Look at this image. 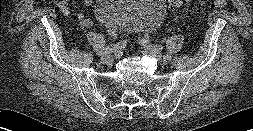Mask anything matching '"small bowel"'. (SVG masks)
Returning <instances> with one entry per match:
<instances>
[{"label":"small bowel","mask_w":253,"mask_h":131,"mask_svg":"<svg viewBox=\"0 0 253 131\" xmlns=\"http://www.w3.org/2000/svg\"><path fill=\"white\" fill-rule=\"evenodd\" d=\"M83 3L86 6H91L93 3V0H83ZM55 5L57 8H59L62 13L66 16L70 15L71 13V8L69 4V0H58ZM77 22L83 26H90L92 24L91 20L87 19L83 13H77L75 16Z\"/></svg>","instance_id":"1"}]
</instances>
